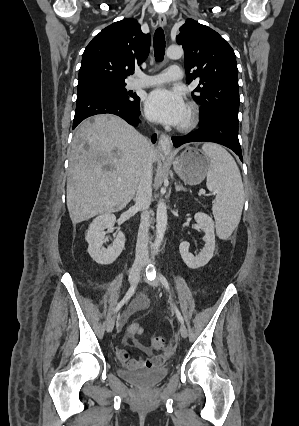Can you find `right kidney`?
Segmentation results:
<instances>
[{"label":"right kidney","mask_w":299,"mask_h":426,"mask_svg":"<svg viewBox=\"0 0 299 426\" xmlns=\"http://www.w3.org/2000/svg\"><path fill=\"white\" fill-rule=\"evenodd\" d=\"M116 217L112 213L102 214L96 217L90 224L86 241L88 242V253L91 258L101 265L113 263L121 254L125 245V236L119 231L114 242L108 248L103 246L105 242V229H113Z\"/></svg>","instance_id":"obj_1"}]
</instances>
